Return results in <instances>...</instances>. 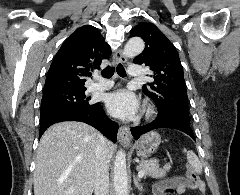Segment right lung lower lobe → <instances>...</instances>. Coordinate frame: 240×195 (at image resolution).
<instances>
[{
    "instance_id": "98d812e1",
    "label": "right lung lower lobe",
    "mask_w": 240,
    "mask_h": 195,
    "mask_svg": "<svg viewBox=\"0 0 240 195\" xmlns=\"http://www.w3.org/2000/svg\"><path fill=\"white\" fill-rule=\"evenodd\" d=\"M61 121L85 122L114 143L117 141L118 124L106 116L100 103L89 107H56L41 111L39 138L48 127Z\"/></svg>"
}]
</instances>
